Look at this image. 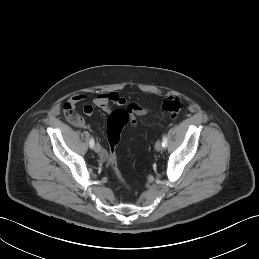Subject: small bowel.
<instances>
[{
    "instance_id": "c3829d8e",
    "label": "small bowel",
    "mask_w": 259,
    "mask_h": 259,
    "mask_svg": "<svg viewBox=\"0 0 259 259\" xmlns=\"http://www.w3.org/2000/svg\"><path fill=\"white\" fill-rule=\"evenodd\" d=\"M85 98H86L85 95L78 94L72 98V101L77 103L82 101ZM91 102L94 106L100 108L105 112H110L111 105L114 104V105L125 107L126 110L129 112L130 116L135 115L139 119L144 118L148 114L147 108L142 106L140 103L130 102L122 95H120L118 92H115V91L99 93L92 97ZM84 113L86 115H91L93 113L92 105H89V104L85 105ZM132 119H133V123L137 122L136 119L134 118ZM76 125L78 127H83V128L87 127L86 123L82 119ZM105 154L106 152L101 151V155H100L101 160L105 159Z\"/></svg>"
}]
</instances>
